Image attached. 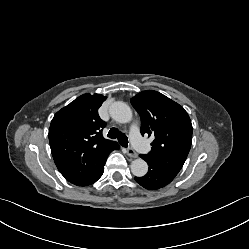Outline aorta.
Wrapping results in <instances>:
<instances>
[{
  "instance_id": "aorta-1",
  "label": "aorta",
  "mask_w": 249,
  "mask_h": 249,
  "mask_svg": "<svg viewBox=\"0 0 249 249\" xmlns=\"http://www.w3.org/2000/svg\"><path fill=\"white\" fill-rule=\"evenodd\" d=\"M111 117L119 123H129L132 120V110L124 102H114L110 107ZM131 172L136 177H143L148 172V164L141 158L131 163Z\"/></svg>"
}]
</instances>
